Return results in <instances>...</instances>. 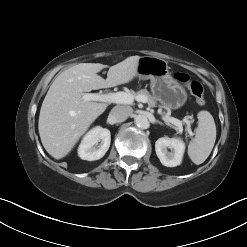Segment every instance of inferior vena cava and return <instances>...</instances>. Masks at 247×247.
<instances>
[{
    "label": "inferior vena cava",
    "mask_w": 247,
    "mask_h": 247,
    "mask_svg": "<svg viewBox=\"0 0 247 247\" xmlns=\"http://www.w3.org/2000/svg\"><path fill=\"white\" fill-rule=\"evenodd\" d=\"M132 112L129 106H115L110 112V117L114 122H124Z\"/></svg>",
    "instance_id": "1"
}]
</instances>
